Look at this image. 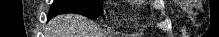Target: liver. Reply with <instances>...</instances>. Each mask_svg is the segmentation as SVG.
<instances>
[{"label": "liver", "mask_w": 219, "mask_h": 37, "mask_svg": "<svg viewBox=\"0 0 219 37\" xmlns=\"http://www.w3.org/2000/svg\"><path fill=\"white\" fill-rule=\"evenodd\" d=\"M52 37H97L94 24L83 16L65 14L54 18L49 26Z\"/></svg>", "instance_id": "liver-1"}]
</instances>
